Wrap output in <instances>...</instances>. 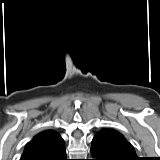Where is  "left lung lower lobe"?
Wrapping results in <instances>:
<instances>
[{
    "mask_svg": "<svg viewBox=\"0 0 160 160\" xmlns=\"http://www.w3.org/2000/svg\"><path fill=\"white\" fill-rule=\"evenodd\" d=\"M91 153L94 157L93 160H126L99 134H96L92 139Z\"/></svg>",
    "mask_w": 160,
    "mask_h": 160,
    "instance_id": "left-lung-lower-lobe-1",
    "label": "left lung lower lobe"
}]
</instances>
